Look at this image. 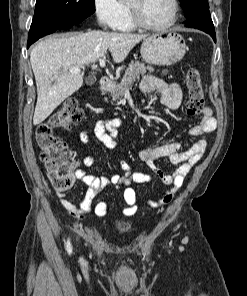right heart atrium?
<instances>
[{
  "label": "right heart atrium",
  "instance_id": "1",
  "mask_svg": "<svg viewBox=\"0 0 247 296\" xmlns=\"http://www.w3.org/2000/svg\"><path fill=\"white\" fill-rule=\"evenodd\" d=\"M93 13L102 28L114 29L124 16L120 0H93Z\"/></svg>",
  "mask_w": 247,
  "mask_h": 296
}]
</instances>
